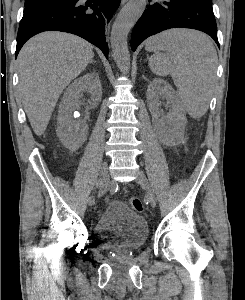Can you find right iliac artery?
Masks as SVG:
<instances>
[{
	"label": "right iliac artery",
	"mask_w": 245,
	"mask_h": 300,
	"mask_svg": "<svg viewBox=\"0 0 245 300\" xmlns=\"http://www.w3.org/2000/svg\"><path fill=\"white\" fill-rule=\"evenodd\" d=\"M108 178L107 177H104L103 178V181H102V185L103 186H100V189H99V197H104V194L106 193V191H108ZM98 200V199H97ZM99 202V201H98Z\"/></svg>",
	"instance_id": "1"
}]
</instances>
